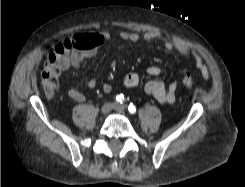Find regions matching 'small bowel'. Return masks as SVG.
Instances as JSON below:
<instances>
[{"label":"small bowel","instance_id":"1","mask_svg":"<svg viewBox=\"0 0 245 187\" xmlns=\"http://www.w3.org/2000/svg\"><path fill=\"white\" fill-rule=\"evenodd\" d=\"M119 37L122 40L137 42L139 40H159L161 39L162 35L157 31H146L141 34L137 31L122 30L119 32ZM110 38L111 34L109 32H95L87 35L83 39V48L80 51L72 52L67 60L59 65V70L66 71L70 68L80 69L84 61L95 53L97 47L101 43L110 40ZM163 45L166 50H176L183 57L193 60L195 66L201 72L202 76L205 78L209 77V69L203 62L201 55L195 48L188 46L182 41L174 39H166ZM147 73L150 76H158L161 73V69L160 67L153 65L147 69ZM139 82L140 76L135 72L127 73L123 78V84L127 88L135 87L139 84ZM95 86L96 82L94 80H91L89 82V87L94 88ZM177 87V81H174L169 86H166L161 81L151 80L145 84L144 90L148 95L152 96L159 103L170 104L176 100ZM102 90L104 92H110L112 90V86L110 84H103ZM68 96L72 100L77 102H82L85 100V95L74 88L68 90Z\"/></svg>","mask_w":245,"mask_h":187}]
</instances>
